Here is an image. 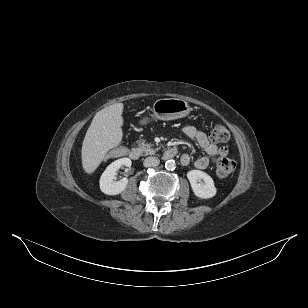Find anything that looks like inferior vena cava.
Returning <instances> with one entry per match:
<instances>
[{"label":"inferior vena cava","mask_w":308,"mask_h":308,"mask_svg":"<svg viewBox=\"0 0 308 308\" xmlns=\"http://www.w3.org/2000/svg\"><path fill=\"white\" fill-rule=\"evenodd\" d=\"M160 163V160L157 157H147L143 164L145 167H156Z\"/></svg>","instance_id":"obj_1"}]
</instances>
